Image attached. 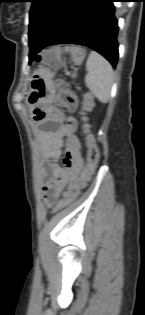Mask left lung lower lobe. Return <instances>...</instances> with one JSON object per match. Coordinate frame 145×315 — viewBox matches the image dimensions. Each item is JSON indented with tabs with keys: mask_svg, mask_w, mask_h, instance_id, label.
I'll use <instances>...</instances> for the list:
<instances>
[{
	"mask_svg": "<svg viewBox=\"0 0 145 315\" xmlns=\"http://www.w3.org/2000/svg\"><path fill=\"white\" fill-rule=\"evenodd\" d=\"M115 0H73L42 40L29 38L32 62L43 48L72 43L89 47L103 55L113 67L118 61V22Z\"/></svg>",
	"mask_w": 145,
	"mask_h": 315,
	"instance_id": "obj_1",
	"label": "left lung lower lobe"
}]
</instances>
